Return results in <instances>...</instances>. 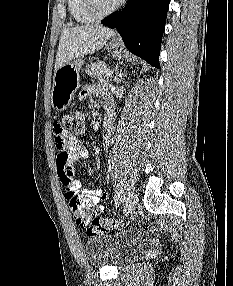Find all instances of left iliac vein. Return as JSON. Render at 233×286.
Instances as JSON below:
<instances>
[{
    "mask_svg": "<svg viewBox=\"0 0 233 286\" xmlns=\"http://www.w3.org/2000/svg\"><path fill=\"white\" fill-rule=\"evenodd\" d=\"M137 206V195L134 191H130L125 198V209L127 213H134Z\"/></svg>",
    "mask_w": 233,
    "mask_h": 286,
    "instance_id": "1",
    "label": "left iliac vein"
}]
</instances>
